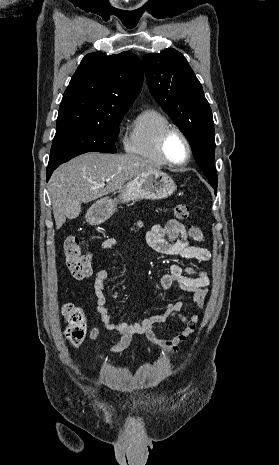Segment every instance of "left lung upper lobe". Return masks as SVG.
I'll list each match as a JSON object with an SVG mask.
<instances>
[{
    "label": "left lung upper lobe",
    "mask_w": 279,
    "mask_h": 465,
    "mask_svg": "<svg viewBox=\"0 0 279 465\" xmlns=\"http://www.w3.org/2000/svg\"><path fill=\"white\" fill-rule=\"evenodd\" d=\"M149 90L188 139L195 160L217 192L212 111L186 58L175 49L143 57Z\"/></svg>",
    "instance_id": "5c2ea615"
}]
</instances>
